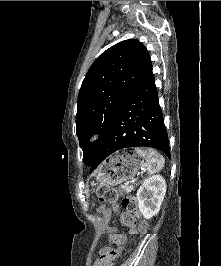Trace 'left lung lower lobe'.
<instances>
[{
    "label": "left lung lower lobe",
    "instance_id": "0a47b994",
    "mask_svg": "<svg viewBox=\"0 0 221 266\" xmlns=\"http://www.w3.org/2000/svg\"><path fill=\"white\" fill-rule=\"evenodd\" d=\"M142 146L159 149L170 157L153 74L138 83L123 101L96 153L90 172L114 152Z\"/></svg>",
    "mask_w": 221,
    "mask_h": 266
}]
</instances>
